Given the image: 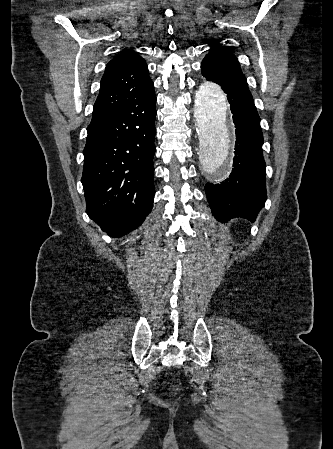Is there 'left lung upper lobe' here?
Segmentation results:
<instances>
[{"instance_id":"left-lung-upper-lobe-1","label":"left lung upper lobe","mask_w":333,"mask_h":449,"mask_svg":"<svg viewBox=\"0 0 333 449\" xmlns=\"http://www.w3.org/2000/svg\"><path fill=\"white\" fill-rule=\"evenodd\" d=\"M209 46V53L201 63L202 74H207L217 80L228 81L248 88L238 59L228 48L218 41H212Z\"/></svg>"}]
</instances>
